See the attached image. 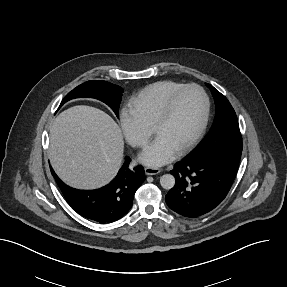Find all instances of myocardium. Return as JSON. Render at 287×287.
Listing matches in <instances>:
<instances>
[{
  "mask_svg": "<svg viewBox=\"0 0 287 287\" xmlns=\"http://www.w3.org/2000/svg\"><path fill=\"white\" fill-rule=\"evenodd\" d=\"M190 89L197 90L201 94L202 99H203V113H202V118L197 129L195 130L193 135L188 139V141L182 147L178 149L179 153H184L185 151L189 150L199 140V138L202 136L203 132L206 129L208 119H209L210 102H209V97L204 91V89L196 84H186V85L181 86L174 92H172L167 98V100L165 101L160 113L158 114L152 126V131L155 134L156 129L169 118L172 112L174 102L177 99V97L184 91H187Z\"/></svg>",
  "mask_w": 287,
  "mask_h": 287,
  "instance_id": "f54148a6",
  "label": "myocardium"
}]
</instances>
